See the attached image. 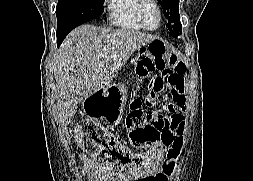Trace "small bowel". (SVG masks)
<instances>
[{
	"label": "small bowel",
	"instance_id": "obj_1",
	"mask_svg": "<svg viewBox=\"0 0 253 181\" xmlns=\"http://www.w3.org/2000/svg\"><path fill=\"white\" fill-rule=\"evenodd\" d=\"M156 60L153 59L152 56H142L139 59V62L137 64V68L141 72H147V73H161L158 74L156 78L154 79L151 90L153 89V86L155 82L165 75V71L159 69L156 65ZM184 105H185V99H184ZM180 117L179 121V128L174 131V135L176 137V144L173 147V153L169 157V159L162 164H157L155 166H152L150 168H147L146 170L136 174V175H123L119 177H113L108 172L101 169L95 162H93L90 158H88L85 155H80V159L84 162L83 166V173L87 177L89 181H167L168 175H170L174 168H175V158L177 151L182 147L183 145V131H184V116L180 112L177 114ZM156 176V177H155ZM155 177V178H153ZM153 178V179H152Z\"/></svg>",
	"mask_w": 253,
	"mask_h": 181
}]
</instances>
